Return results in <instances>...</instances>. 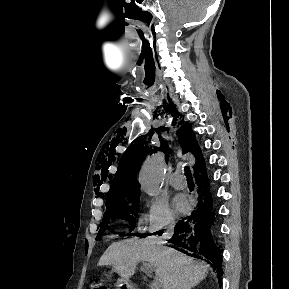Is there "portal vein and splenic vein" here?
Instances as JSON below:
<instances>
[{
    "label": "portal vein and splenic vein",
    "mask_w": 289,
    "mask_h": 289,
    "mask_svg": "<svg viewBox=\"0 0 289 289\" xmlns=\"http://www.w3.org/2000/svg\"><path fill=\"white\" fill-rule=\"evenodd\" d=\"M147 266V271H150V266L149 265H145ZM160 288V283L158 278H156L155 280H153L152 285H151V289H159Z\"/></svg>",
    "instance_id": "portal-vein-and-splenic-vein-1"
}]
</instances>
